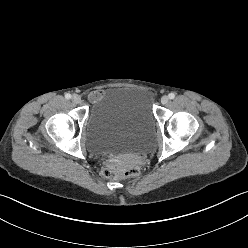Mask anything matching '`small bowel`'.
Here are the masks:
<instances>
[{"instance_id": "obj_1", "label": "small bowel", "mask_w": 248, "mask_h": 248, "mask_svg": "<svg viewBox=\"0 0 248 248\" xmlns=\"http://www.w3.org/2000/svg\"><path fill=\"white\" fill-rule=\"evenodd\" d=\"M100 96H101V93H100V92H95V93L92 95L93 99H97V98H99Z\"/></svg>"}]
</instances>
